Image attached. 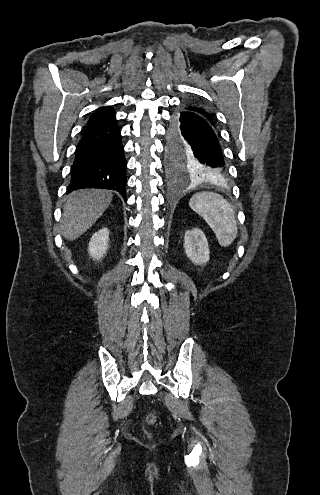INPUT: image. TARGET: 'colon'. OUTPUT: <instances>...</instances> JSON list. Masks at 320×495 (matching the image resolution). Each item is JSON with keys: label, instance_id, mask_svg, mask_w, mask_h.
Here are the masks:
<instances>
[{"label": "colon", "instance_id": "5ec220e1", "mask_svg": "<svg viewBox=\"0 0 320 495\" xmlns=\"http://www.w3.org/2000/svg\"><path fill=\"white\" fill-rule=\"evenodd\" d=\"M156 421V417L153 413L149 414L146 418H145V423L146 424H153L154 422Z\"/></svg>", "mask_w": 320, "mask_h": 495}]
</instances>
